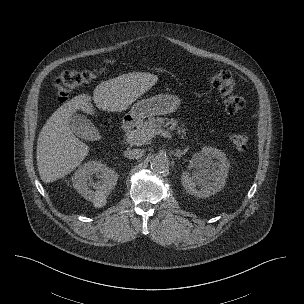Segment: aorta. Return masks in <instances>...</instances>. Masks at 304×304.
<instances>
[{
    "label": "aorta",
    "instance_id": "762f6f07",
    "mask_svg": "<svg viewBox=\"0 0 304 304\" xmlns=\"http://www.w3.org/2000/svg\"><path fill=\"white\" fill-rule=\"evenodd\" d=\"M150 167L154 172L162 173L168 169L169 159L165 154H157L151 159Z\"/></svg>",
    "mask_w": 304,
    "mask_h": 304
}]
</instances>
